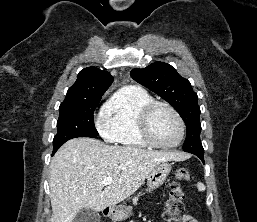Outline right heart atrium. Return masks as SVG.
Masks as SVG:
<instances>
[{
    "label": "right heart atrium",
    "instance_id": "d8ad5b80",
    "mask_svg": "<svg viewBox=\"0 0 257 222\" xmlns=\"http://www.w3.org/2000/svg\"><path fill=\"white\" fill-rule=\"evenodd\" d=\"M98 131L102 136L106 137L107 139H110L109 133H108L107 121H101L98 123Z\"/></svg>",
    "mask_w": 257,
    "mask_h": 222
}]
</instances>
